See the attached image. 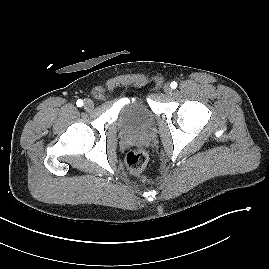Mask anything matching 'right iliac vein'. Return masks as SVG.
I'll list each match as a JSON object with an SVG mask.
<instances>
[{"instance_id": "obj_1", "label": "right iliac vein", "mask_w": 269, "mask_h": 269, "mask_svg": "<svg viewBox=\"0 0 269 269\" xmlns=\"http://www.w3.org/2000/svg\"><path fill=\"white\" fill-rule=\"evenodd\" d=\"M84 108L86 110H92L94 108V103L92 100L90 99H86L85 102H84Z\"/></svg>"}]
</instances>
